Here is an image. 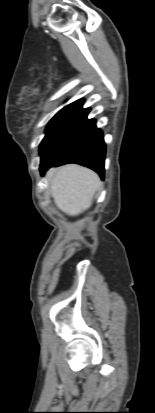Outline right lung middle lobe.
Returning a JSON list of instances; mask_svg holds the SVG:
<instances>
[{
    "label": "right lung middle lobe",
    "mask_w": 155,
    "mask_h": 413,
    "mask_svg": "<svg viewBox=\"0 0 155 413\" xmlns=\"http://www.w3.org/2000/svg\"><path fill=\"white\" fill-rule=\"evenodd\" d=\"M79 107L59 111L49 122L46 135L40 144L41 162L44 161L63 138Z\"/></svg>",
    "instance_id": "1"
}]
</instances>
